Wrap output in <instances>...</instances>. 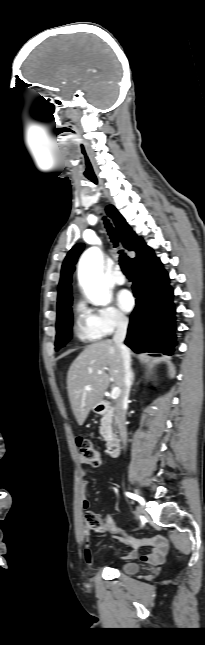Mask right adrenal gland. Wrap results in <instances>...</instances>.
Masks as SVG:
<instances>
[{"label":"right adrenal gland","instance_id":"1","mask_svg":"<svg viewBox=\"0 0 205 645\" xmlns=\"http://www.w3.org/2000/svg\"><path fill=\"white\" fill-rule=\"evenodd\" d=\"M134 377H135L134 373L132 372V384L134 383V379H135Z\"/></svg>","mask_w":205,"mask_h":645}]
</instances>
